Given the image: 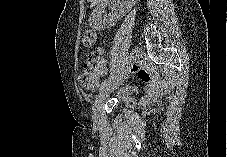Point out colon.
<instances>
[{"label": "colon", "instance_id": "colon-1", "mask_svg": "<svg viewBox=\"0 0 227 157\" xmlns=\"http://www.w3.org/2000/svg\"><path fill=\"white\" fill-rule=\"evenodd\" d=\"M97 41V33L93 29H85L82 34V42L84 46L91 47ZM101 58L92 52H87L84 55V60L81 64L80 81L83 86L89 87L93 81V72Z\"/></svg>", "mask_w": 227, "mask_h": 157}]
</instances>
